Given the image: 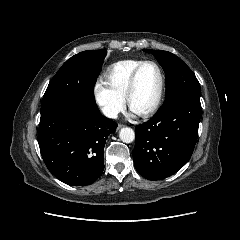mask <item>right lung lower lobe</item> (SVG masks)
Segmentation results:
<instances>
[{"label": "right lung lower lobe", "mask_w": 240, "mask_h": 240, "mask_svg": "<svg viewBox=\"0 0 240 240\" xmlns=\"http://www.w3.org/2000/svg\"><path fill=\"white\" fill-rule=\"evenodd\" d=\"M116 127L97 106L62 102L41 110L38 143L47 168L68 185L92 184L104 170V145Z\"/></svg>", "instance_id": "right-lung-lower-lobe-1"}]
</instances>
